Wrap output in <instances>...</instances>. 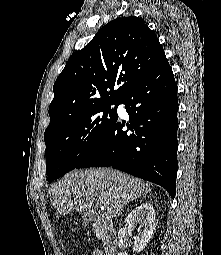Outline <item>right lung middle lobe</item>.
<instances>
[{"instance_id":"right-lung-middle-lobe-1","label":"right lung middle lobe","mask_w":221,"mask_h":255,"mask_svg":"<svg viewBox=\"0 0 221 255\" xmlns=\"http://www.w3.org/2000/svg\"><path fill=\"white\" fill-rule=\"evenodd\" d=\"M103 102L83 108L56 127L45 131L46 174L49 182L76 168L115 123L118 114Z\"/></svg>"}]
</instances>
